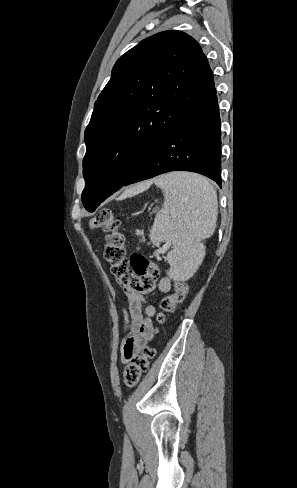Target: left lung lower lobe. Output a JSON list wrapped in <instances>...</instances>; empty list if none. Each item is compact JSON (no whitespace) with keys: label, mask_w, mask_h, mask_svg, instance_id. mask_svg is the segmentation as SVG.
Instances as JSON below:
<instances>
[{"label":"left lung lower lobe","mask_w":297,"mask_h":488,"mask_svg":"<svg viewBox=\"0 0 297 488\" xmlns=\"http://www.w3.org/2000/svg\"><path fill=\"white\" fill-rule=\"evenodd\" d=\"M221 127L216 93L172 129L124 185L170 171H191L221 186Z\"/></svg>","instance_id":"1"}]
</instances>
